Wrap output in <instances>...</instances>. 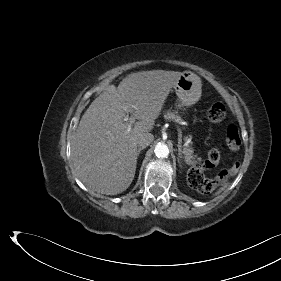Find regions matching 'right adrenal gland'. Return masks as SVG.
<instances>
[{"instance_id": "obj_1", "label": "right adrenal gland", "mask_w": 281, "mask_h": 281, "mask_svg": "<svg viewBox=\"0 0 281 281\" xmlns=\"http://www.w3.org/2000/svg\"><path fill=\"white\" fill-rule=\"evenodd\" d=\"M143 150V148H139L137 151V156H139L140 152Z\"/></svg>"}]
</instances>
